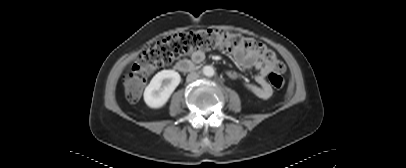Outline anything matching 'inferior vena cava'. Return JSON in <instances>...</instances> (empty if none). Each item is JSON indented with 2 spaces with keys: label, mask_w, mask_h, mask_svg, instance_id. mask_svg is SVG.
<instances>
[{
  "label": "inferior vena cava",
  "mask_w": 406,
  "mask_h": 168,
  "mask_svg": "<svg viewBox=\"0 0 406 168\" xmlns=\"http://www.w3.org/2000/svg\"><path fill=\"white\" fill-rule=\"evenodd\" d=\"M199 78L198 73L196 72H191L187 75L186 81L187 82H193Z\"/></svg>",
  "instance_id": "602c4592"
}]
</instances>
